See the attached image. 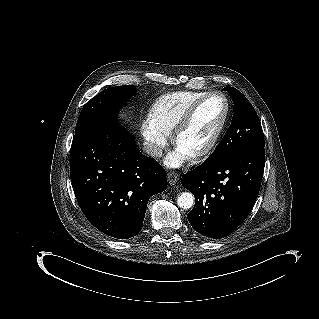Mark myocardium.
<instances>
[{
  "mask_svg": "<svg viewBox=\"0 0 319 319\" xmlns=\"http://www.w3.org/2000/svg\"><path fill=\"white\" fill-rule=\"evenodd\" d=\"M213 97H218L221 98L224 102V111H223V115L221 117V120L217 126V128L215 129L214 133L212 134V136L210 137V139L207 141L206 144H204L202 147L193 150V151H189L190 155L193 158H199L202 157L204 155H206L208 152L211 151V149L215 146L216 142L218 141L223 128L225 126L227 117H228V113H229V103L227 98L225 97V95L221 92L218 91H214V92H209L206 93L205 95H203L200 99H198L193 105H191L188 110L185 112V114L183 115V117L180 119V121L177 123V125L175 126L173 133H172V139L173 142L176 145H179V136L181 131L183 130V128L186 126V124L190 121L192 115L194 114L195 110L206 100L213 98Z\"/></svg>",
  "mask_w": 319,
  "mask_h": 319,
  "instance_id": "obj_1",
  "label": "myocardium"
}]
</instances>
